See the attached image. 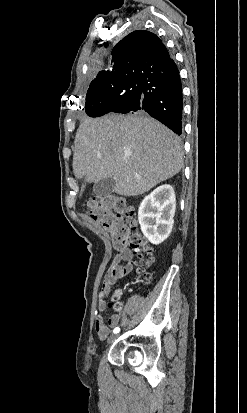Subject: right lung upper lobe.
<instances>
[{"label": "right lung upper lobe", "mask_w": 247, "mask_h": 413, "mask_svg": "<svg viewBox=\"0 0 247 413\" xmlns=\"http://www.w3.org/2000/svg\"><path fill=\"white\" fill-rule=\"evenodd\" d=\"M112 71H100L94 80L123 81L132 74L160 71L172 59L162 41L153 33L137 30L112 50Z\"/></svg>", "instance_id": "obj_1"}]
</instances>
